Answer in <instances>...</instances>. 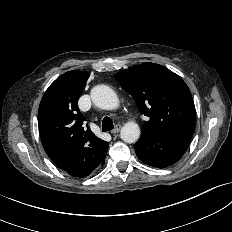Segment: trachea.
Segmentation results:
<instances>
[{
	"label": "trachea",
	"instance_id": "3493384b",
	"mask_svg": "<svg viewBox=\"0 0 232 232\" xmlns=\"http://www.w3.org/2000/svg\"><path fill=\"white\" fill-rule=\"evenodd\" d=\"M114 128L113 121L110 117H104L102 121V131H110Z\"/></svg>",
	"mask_w": 232,
	"mask_h": 232
}]
</instances>
